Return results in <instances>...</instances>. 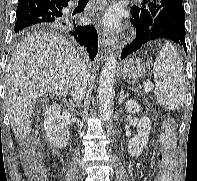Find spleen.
<instances>
[{
  "instance_id": "3e777b00",
  "label": "spleen",
  "mask_w": 197,
  "mask_h": 181,
  "mask_svg": "<svg viewBox=\"0 0 197 181\" xmlns=\"http://www.w3.org/2000/svg\"><path fill=\"white\" fill-rule=\"evenodd\" d=\"M154 94L160 105L170 110L180 109L186 101V84L183 64L170 43L162 46L154 64Z\"/></svg>"
}]
</instances>
